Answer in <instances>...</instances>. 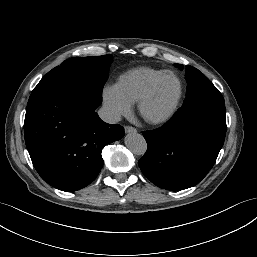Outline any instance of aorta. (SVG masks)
I'll use <instances>...</instances> for the list:
<instances>
[{
    "label": "aorta",
    "instance_id": "762f6f07",
    "mask_svg": "<svg viewBox=\"0 0 257 257\" xmlns=\"http://www.w3.org/2000/svg\"><path fill=\"white\" fill-rule=\"evenodd\" d=\"M125 145L135 155H143L147 150L144 137L137 132H131L125 137Z\"/></svg>",
    "mask_w": 257,
    "mask_h": 257
}]
</instances>
